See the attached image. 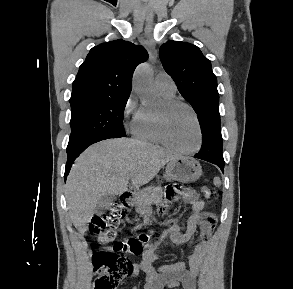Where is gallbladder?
I'll return each mask as SVG.
<instances>
[{"mask_svg":"<svg viewBox=\"0 0 293 289\" xmlns=\"http://www.w3.org/2000/svg\"><path fill=\"white\" fill-rule=\"evenodd\" d=\"M116 200V196L111 194L103 195L97 203V206L95 208L96 214L100 215L103 214L113 203V201Z\"/></svg>","mask_w":293,"mask_h":289,"instance_id":"gallbladder-1","label":"gallbladder"}]
</instances>
